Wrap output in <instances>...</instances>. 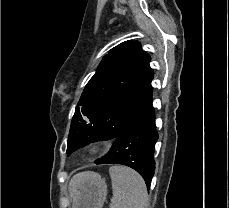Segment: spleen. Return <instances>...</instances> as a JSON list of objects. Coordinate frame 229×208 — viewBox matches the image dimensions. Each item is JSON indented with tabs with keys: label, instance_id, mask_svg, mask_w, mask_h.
Instances as JSON below:
<instances>
[{
	"label": "spleen",
	"instance_id": "3e777b00",
	"mask_svg": "<svg viewBox=\"0 0 229 208\" xmlns=\"http://www.w3.org/2000/svg\"><path fill=\"white\" fill-rule=\"evenodd\" d=\"M109 174L113 190L111 208H146V184L137 172L126 166H112Z\"/></svg>",
	"mask_w": 229,
	"mask_h": 208
}]
</instances>
